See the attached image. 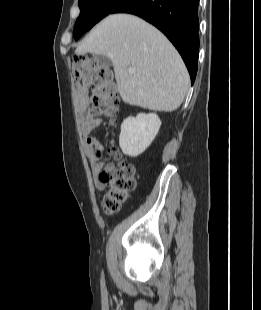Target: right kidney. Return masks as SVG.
<instances>
[{
	"label": "right kidney",
	"instance_id": "ca27d5eb",
	"mask_svg": "<svg viewBox=\"0 0 261 310\" xmlns=\"http://www.w3.org/2000/svg\"><path fill=\"white\" fill-rule=\"evenodd\" d=\"M161 121L155 113H140L126 118L121 125L119 145L122 152L130 157L143 153L157 135Z\"/></svg>",
	"mask_w": 261,
	"mask_h": 310
}]
</instances>
